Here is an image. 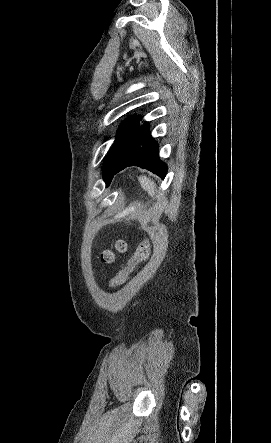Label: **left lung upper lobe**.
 Here are the masks:
<instances>
[{"instance_id": "left-lung-upper-lobe-1", "label": "left lung upper lobe", "mask_w": 271, "mask_h": 443, "mask_svg": "<svg viewBox=\"0 0 271 443\" xmlns=\"http://www.w3.org/2000/svg\"><path fill=\"white\" fill-rule=\"evenodd\" d=\"M135 117L132 116L130 118H128L126 121H124L121 125V127L119 128V131L117 133V137L116 140L112 146V148L110 149L109 153L107 154L105 160H104V180L106 182V184L108 185L110 183V171L111 168L113 166L115 157L117 155V151H118V147L120 142L122 141L123 137H124V133L126 131V129L129 127V125L134 121Z\"/></svg>"}]
</instances>
